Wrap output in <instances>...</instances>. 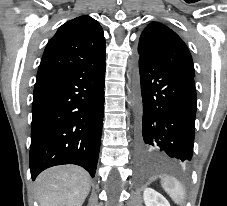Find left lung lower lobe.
Here are the masks:
<instances>
[{"label": "left lung lower lobe", "instance_id": "1", "mask_svg": "<svg viewBox=\"0 0 227 206\" xmlns=\"http://www.w3.org/2000/svg\"><path fill=\"white\" fill-rule=\"evenodd\" d=\"M141 102L136 144L142 156L159 151L180 162L193 153L196 89L194 75L137 59Z\"/></svg>", "mask_w": 227, "mask_h": 206}]
</instances>
